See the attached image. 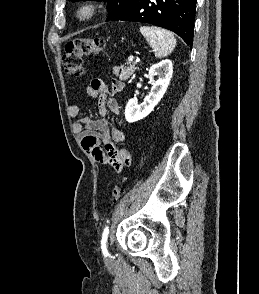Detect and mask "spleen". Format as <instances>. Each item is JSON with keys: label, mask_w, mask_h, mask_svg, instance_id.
<instances>
[{"label": "spleen", "mask_w": 259, "mask_h": 294, "mask_svg": "<svg viewBox=\"0 0 259 294\" xmlns=\"http://www.w3.org/2000/svg\"><path fill=\"white\" fill-rule=\"evenodd\" d=\"M140 33L146 38L157 58L166 57L176 46V39L173 33L166 29L154 26H141Z\"/></svg>", "instance_id": "obj_1"}]
</instances>
